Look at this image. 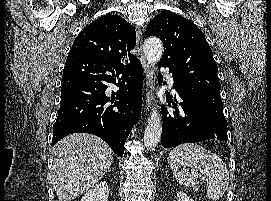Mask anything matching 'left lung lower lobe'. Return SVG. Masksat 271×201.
<instances>
[{
	"mask_svg": "<svg viewBox=\"0 0 271 201\" xmlns=\"http://www.w3.org/2000/svg\"><path fill=\"white\" fill-rule=\"evenodd\" d=\"M159 67H164L159 65ZM171 73V72H170ZM159 81L162 76L158 75ZM174 88L177 95L174 99H167L168 105L174 109L168 111L164 106L161 107L163 117V127L161 142L163 147H174L187 142H200L210 139L226 141L227 138L215 133L210 126L204 109L195 102L190 96L180 91L176 77Z\"/></svg>",
	"mask_w": 271,
	"mask_h": 201,
	"instance_id": "left-lung-lower-lobe-1",
	"label": "left lung lower lobe"
}]
</instances>
